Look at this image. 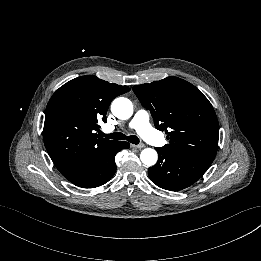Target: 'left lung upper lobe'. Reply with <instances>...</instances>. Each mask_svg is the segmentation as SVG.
<instances>
[{
  "label": "left lung upper lobe",
  "mask_w": 261,
  "mask_h": 261,
  "mask_svg": "<svg viewBox=\"0 0 261 261\" xmlns=\"http://www.w3.org/2000/svg\"><path fill=\"white\" fill-rule=\"evenodd\" d=\"M133 91L150 110L155 127L167 134L169 144L160 149L213 162L219 125L211 103L201 91L177 77L135 85Z\"/></svg>",
  "instance_id": "1"
}]
</instances>
